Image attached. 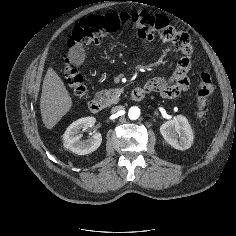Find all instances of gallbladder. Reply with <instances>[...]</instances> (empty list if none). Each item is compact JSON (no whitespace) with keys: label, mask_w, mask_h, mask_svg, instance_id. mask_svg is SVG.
<instances>
[{"label":"gallbladder","mask_w":236,"mask_h":236,"mask_svg":"<svg viewBox=\"0 0 236 236\" xmlns=\"http://www.w3.org/2000/svg\"><path fill=\"white\" fill-rule=\"evenodd\" d=\"M70 63L74 66H80L85 60V53L80 47H73L68 53Z\"/></svg>","instance_id":"gallbladder-1"}]
</instances>
